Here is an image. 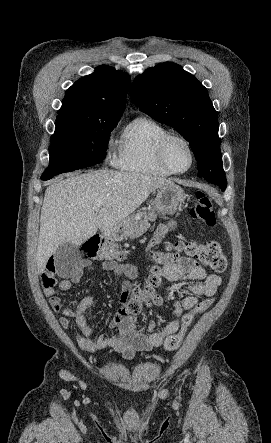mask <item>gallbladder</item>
Wrapping results in <instances>:
<instances>
[{
	"instance_id": "gallbladder-1",
	"label": "gallbladder",
	"mask_w": 271,
	"mask_h": 443,
	"mask_svg": "<svg viewBox=\"0 0 271 443\" xmlns=\"http://www.w3.org/2000/svg\"><path fill=\"white\" fill-rule=\"evenodd\" d=\"M55 257L58 259V263L55 264V273H58L60 278H69L71 273H78V269L82 268V261L79 260L80 252L70 241L58 247Z\"/></svg>"
}]
</instances>
